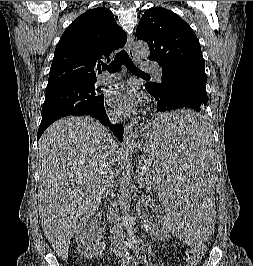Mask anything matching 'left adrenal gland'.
<instances>
[{"label": "left adrenal gland", "mask_w": 253, "mask_h": 266, "mask_svg": "<svg viewBox=\"0 0 253 266\" xmlns=\"http://www.w3.org/2000/svg\"><path fill=\"white\" fill-rule=\"evenodd\" d=\"M139 188H140V189L143 188V182H142L141 179H140V181H139Z\"/></svg>", "instance_id": "obj_1"}]
</instances>
